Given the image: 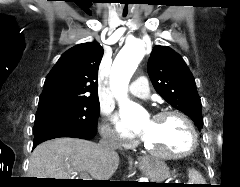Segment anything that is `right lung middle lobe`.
Returning <instances> with one entry per match:
<instances>
[{
  "label": "right lung middle lobe",
  "instance_id": "dd1d6c3e",
  "mask_svg": "<svg viewBox=\"0 0 240 187\" xmlns=\"http://www.w3.org/2000/svg\"><path fill=\"white\" fill-rule=\"evenodd\" d=\"M100 113L98 100L56 101L38 106L33 133L62 128L83 134L96 131Z\"/></svg>",
  "mask_w": 240,
  "mask_h": 187
}]
</instances>
